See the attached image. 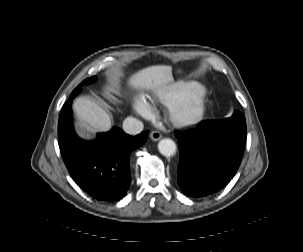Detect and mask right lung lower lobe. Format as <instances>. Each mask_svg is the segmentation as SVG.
<instances>
[{
  "instance_id": "obj_1",
  "label": "right lung lower lobe",
  "mask_w": 303,
  "mask_h": 252,
  "mask_svg": "<svg viewBox=\"0 0 303 252\" xmlns=\"http://www.w3.org/2000/svg\"><path fill=\"white\" fill-rule=\"evenodd\" d=\"M72 92L63 105L58 122V140L65 165L75 182L90 196L102 201L122 198L131 183V152L143 145L148 132L132 137L114 127L98 134L94 141H84L72 124Z\"/></svg>"
}]
</instances>
